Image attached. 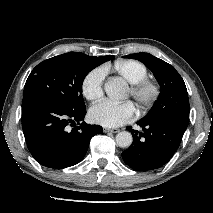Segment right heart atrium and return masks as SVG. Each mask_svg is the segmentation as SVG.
I'll list each match as a JSON object with an SVG mask.
<instances>
[{"mask_svg": "<svg viewBox=\"0 0 213 213\" xmlns=\"http://www.w3.org/2000/svg\"><path fill=\"white\" fill-rule=\"evenodd\" d=\"M105 76L103 67L93 68L86 74L82 81V93L87 100L95 102L103 96Z\"/></svg>", "mask_w": 213, "mask_h": 213, "instance_id": "1", "label": "right heart atrium"}]
</instances>
